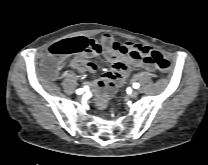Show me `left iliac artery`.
<instances>
[{"label": "left iliac artery", "instance_id": "obj_1", "mask_svg": "<svg viewBox=\"0 0 208 165\" xmlns=\"http://www.w3.org/2000/svg\"><path fill=\"white\" fill-rule=\"evenodd\" d=\"M133 87H134L135 89H137V88H139V84H138V83H134V84H133Z\"/></svg>", "mask_w": 208, "mask_h": 165}]
</instances>
